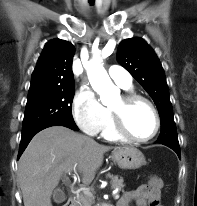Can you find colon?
<instances>
[{"label":"colon","mask_w":197,"mask_h":206,"mask_svg":"<svg viewBox=\"0 0 197 206\" xmlns=\"http://www.w3.org/2000/svg\"><path fill=\"white\" fill-rule=\"evenodd\" d=\"M149 185L154 188V189H157L159 187H161V180L157 177H152L150 180H149Z\"/></svg>","instance_id":"colon-1"}]
</instances>
